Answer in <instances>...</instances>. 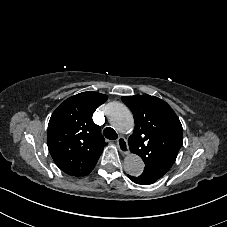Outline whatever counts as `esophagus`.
Returning a JSON list of instances; mask_svg holds the SVG:
<instances>
[{
	"mask_svg": "<svg viewBox=\"0 0 227 227\" xmlns=\"http://www.w3.org/2000/svg\"><path fill=\"white\" fill-rule=\"evenodd\" d=\"M117 145H118V148H119V150L122 154H124V155L129 154L128 142L124 137L120 136L117 139Z\"/></svg>",
	"mask_w": 227,
	"mask_h": 227,
	"instance_id": "obj_1",
	"label": "esophagus"
}]
</instances>
